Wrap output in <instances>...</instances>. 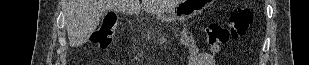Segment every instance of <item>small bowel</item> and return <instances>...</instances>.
I'll list each match as a JSON object with an SVG mask.
<instances>
[{
  "label": "small bowel",
  "mask_w": 309,
  "mask_h": 65,
  "mask_svg": "<svg viewBox=\"0 0 309 65\" xmlns=\"http://www.w3.org/2000/svg\"><path fill=\"white\" fill-rule=\"evenodd\" d=\"M187 57L185 65H215V56L220 52L219 45H211L209 53L198 54L197 45L192 34L185 37Z\"/></svg>",
  "instance_id": "obj_1"
}]
</instances>
